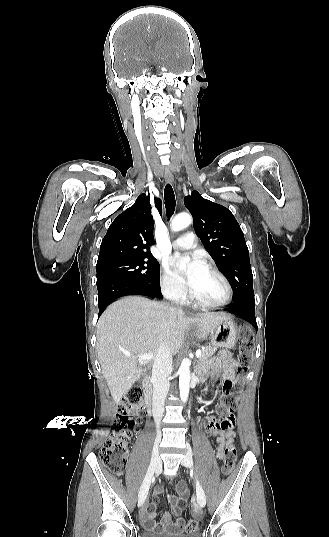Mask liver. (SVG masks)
<instances>
[{
	"instance_id": "6515ba94",
	"label": "liver",
	"mask_w": 329,
	"mask_h": 537,
	"mask_svg": "<svg viewBox=\"0 0 329 537\" xmlns=\"http://www.w3.org/2000/svg\"><path fill=\"white\" fill-rule=\"evenodd\" d=\"M228 317L223 313H203L186 318L163 303L143 297H124L107 307L97 323V353L102 373L118 403L141 377L149 361L140 355L157 354L164 337L172 354H177L191 324L199 328L198 337L207 336ZM125 352L130 356H125Z\"/></svg>"
}]
</instances>
